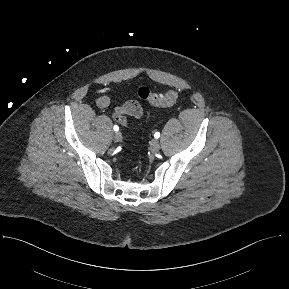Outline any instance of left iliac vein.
<instances>
[{"label":"left iliac vein","instance_id":"4c4485c4","mask_svg":"<svg viewBox=\"0 0 289 289\" xmlns=\"http://www.w3.org/2000/svg\"><path fill=\"white\" fill-rule=\"evenodd\" d=\"M150 148L153 152H157L160 149V143L157 139H153L150 142Z\"/></svg>","mask_w":289,"mask_h":289}]
</instances>
